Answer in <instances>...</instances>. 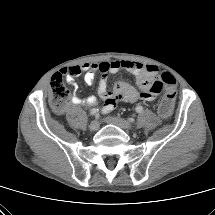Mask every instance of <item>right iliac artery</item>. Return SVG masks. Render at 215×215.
I'll list each match as a JSON object with an SVG mask.
<instances>
[{
    "label": "right iliac artery",
    "instance_id": "obj_1",
    "mask_svg": "<svg viewBox=\"0 0 215 215\" xmlns=\"http://www.w3.org/2000/svg\"><path fill=\"white\" fill-rule=\"evenodd\" d=\"M90 114L97 117L98 116V109H95V108L92 109Z\"/></svg>",
    "mask_w": 215,
    "mask_h": 215
}]
</instances>
